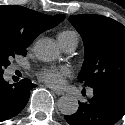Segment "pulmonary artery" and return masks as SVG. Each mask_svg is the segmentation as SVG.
<instances>
[{
    "label": "pulmonary artery",
    "instance_id": "1",
    "mask_svg": "<svg viewBox=\"0 0 125 125\" xmlns=\"http://www.w3.org/2000/svg\"><path fill=\"white\" fill-rule=\"evenodd\" d=\"M60 44L66 52H73L78 45V36H72L69 39L61 42ZM90 95H92V92L90 93Z\"/></svg>",
    "mask_w": 125,
    "mask_h": 125
}]
</instances>
